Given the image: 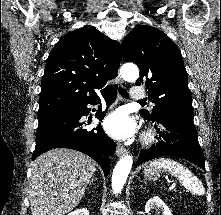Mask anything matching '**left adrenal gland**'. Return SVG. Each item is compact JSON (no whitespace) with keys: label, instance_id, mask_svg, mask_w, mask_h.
Wrapping results in <instances>:
<instances>
[{"label":"left adrenal gland","instance_id":"left-adrenal-gland-1","mask_svg":"<svg viewBox=\"0 0 221 215\" xmlns=\"http://www.w3.org/2000/svg\"><path fill=\"white\" fill-rule=\"evenodd\" d=\"M140 188H144L143 185H141Z\"/></svg>","mask_w":221,"mask_h":215}]
</instances>
